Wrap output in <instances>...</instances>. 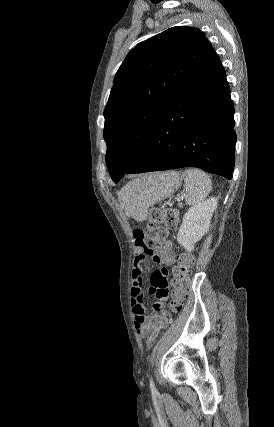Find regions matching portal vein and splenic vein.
I'll return each instance as SVG.
<instances>
[{
    "instance_id": "obj_1",
    "label": "portal vein and splenic vein",
    "mask_w": 274,
    "mask_h": 427,
    "mask_svg": "<svg viewBox=\"0 0 274 427\" xmlns=\"http://www.w3.org/2000/svg\"><path fill=\"white\" fill-rule=\"evenodd\" d=\"M178 200H182V198H178Z\"/></svg>"
}]
</instances>
